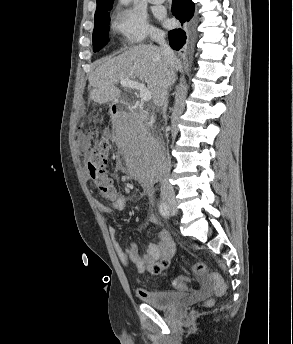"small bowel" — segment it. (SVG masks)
<instances>
[{
  "label": "small bowel",
  "instance_id": "c3829d8e",
  "mask_svg": "<svg viewBox=\"0 0 293 344\" xmlns=\"http://www.w3.org/2000/svg\"><path fill=\"white\" fill-rule=\"evenodd\" d=\"M78 142L80 149L84 151L90 146V139L84 134L79 135ZM125 207L126 199L121 195H118V197L114 199L112 206H108L104 203L98 204L99 211L106 216H111L114 209L123 210ZM149 222L156 226L160 225L159 218L154 214L149 217ZM109 234L112 239L114 250L121 262L127 266L133 267L141 273L146 272L153 276L161 275L167 270L175 253V243L166 230H161L158 233V242L150 243L144 254L140 253L139 248L134 243H131L130 247L125 250L117 240L116 227L110 226ZM178 288L186 290V282L184 286ZM213 291L214 284L207 279H202L200 287L193 292L192 299H201L211 294ZM137 293L140 297H143L144 290L139 289Z\"/></svg>",
  "mask_w": 293,
  "mask_h": 344
}]
</instances>
